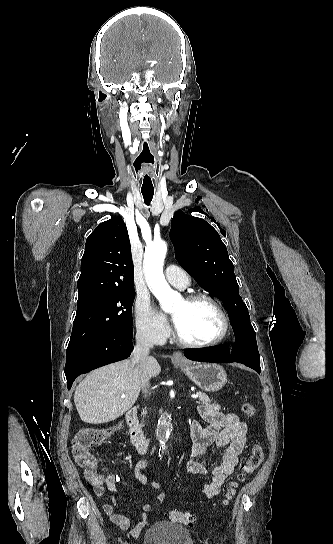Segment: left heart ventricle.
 <instances>
[{"mask_svg": "<svg viewBox=\"0 0 333 544\" xmlns=\"http://www.w3.org/2000/svg\"><path fill=\"white\" fill-rule=\"evenodd\" d=\"M179 333L192 342H207L221 332L222 320L217 309L207 301L187 304L179 302L172 310Z\"/></svg>", "mask_w": 333, "mask_h": 544, "instance_id": "obj_1", "label": "left heart ventricle"}]
</instances>
